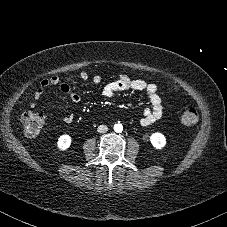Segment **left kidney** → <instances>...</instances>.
<instances>
[{
  "mask_svg": "<svg viewBox=\"0 0 227 227\" xmlns=\"http://www.w3.org/2000/svg\"><path fill=\"white\" fill-rule=\"evenodd\" d=\"M150 141L153 147H155L156 149H162L166 145V138L160 132L151 134Z\"/></svg>",
  "mask_w": 227,
  "mask_h": 227,
  "instance_id": "1",
  "label": "left kidney"
}]
</instances>
